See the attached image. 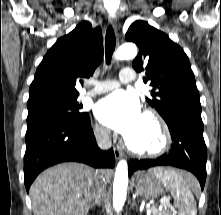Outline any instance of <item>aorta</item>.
<instances>
[{"instance_id":"762f6f07","label":"aorta","mask_w":221,"mask_h":215,"mask_svg":"<svg viewBox=\"0 0 221 215\" xmlns=\"http://www.w3.org/2000/svg\"><path fill=\"white\" fill-rule=\"evenodd\" d=\"M137 55V47L133 43L121 45L115 53L117 60L132 59ZM128 186V164L120 160L117 164L113 184V206L120 211L125 203Z\"/></svg>"}]
</instances>
